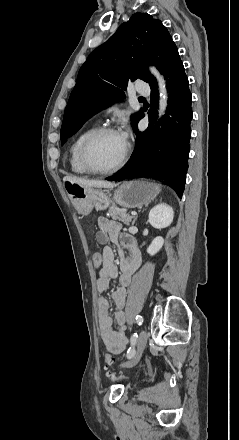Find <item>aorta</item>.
<instances>
[{
	"mask_svg": "<svg viewBox=\"0 0 239 440\" xmlns=\"http://www.w3.org/2000/svg\"><path fill=\"white\" fill-rule=\"evenodd\" d=\"M149 70H150L151 74H153V76H155V78H157V80L159 82V90L161 92V94H160L161 98L159 100V116H163V114L167 108V100H168L164 80H162L158 70H156V68H154V66H150Z\"/></svg>",
	"mask_w": 239,
	"mask_h": 440,
	"instance_id": "aorta-1",
	"label": "aorta"
}]
</instances>
